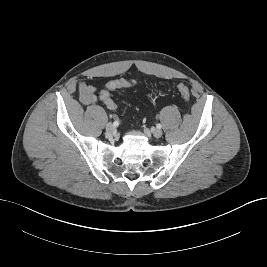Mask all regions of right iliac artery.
<instances>
[{
	"instance_id": "1",
	"label": "right iliac artery",
	"mask_w": 267,
	"mask_h": 267,
	"mask_svg": "<svg viewBox=\"0 0 267 267\" xmlns=\"http://www.w3.org/2000/svg\"><path fill=\"white\" fill-rule=\"evenodd\" d=\"M113 125H114V127H117V126L119 125V121H118V120H115V121L113 122Z\"/></svg>"
}]
</instances>
